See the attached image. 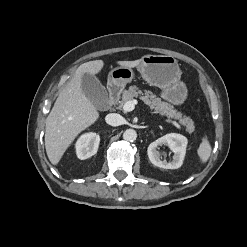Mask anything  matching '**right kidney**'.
<instances>
[{
  "label": "right kidney",
  "instance_id": "right-kidney-1",
  "mask_svg": "<svg viewBox=\"0 0 247 247\" xmlns=\"http://www.w3.org/2000/svg\"><path fill=\"white\" fill-rule=\"evenodd\" d=\"M100 143V136L90 132L83 134L76 142V154L81 160L92 157L97 153Z\"/></svg>",
  "mask_w": 247,
  "mask_h": 247
}]
</instances>
